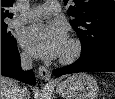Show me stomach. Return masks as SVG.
Instances as JSON below:
<instances>
[{"instance_id":"1","label":"stomach","mask_w":115,"mask_h":99,"mask_svg":"<svg viewBox=\"0 0 115 99\" xmlns=\"http://www.w3.org/2000/svg\"><path fill=\"white\" fill-rule=\"evenodd\" d=\"M98 89L96 80L86 73L74 74L56 85L64 99H95Z\"/></svg>"}]
</instances>
